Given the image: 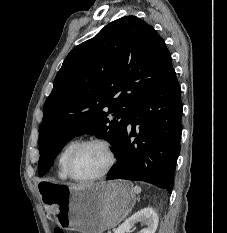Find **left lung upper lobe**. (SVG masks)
<instances>
[{
    "mask_svg": "<svg viewBox=\"0 0 227 233\" xmlns=\"http://www.w3.org/2000/svg\"><path fill=\"white\" fill-rule=\"evenodd\" d=\"M173 69L164 40L135 16L106 25L75 47L57 73L39 129V176L75 136L95 134L116 152L132 106Z\"/></svg>",
    "mask_w": 227,
    "mask_h": 233,
    "instance_id": "obj_1",
    "label": "left lung upper lobe"
}]
</instances>
